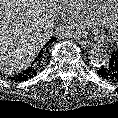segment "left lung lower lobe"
Here are the masks:
<instances>
[{
	"instance_id": "obj_1",
	"label": "left lung lower lobe",
	"mask_w": 118,
	"mask_h": 118,
	"mask_svg": "<svg viewBox=\"0 0 118 118\" xmlns=\"http://www.w3.org/2000/svg\"><path fill=\"white\" fill-rule=\"evenodd\" d=\"M97 73L106 81L118 83V50L110 53L107 62L97 70Z\"/></svg>"
}]
</instances>
